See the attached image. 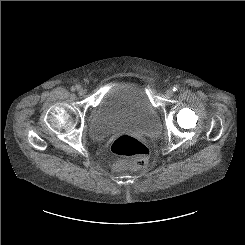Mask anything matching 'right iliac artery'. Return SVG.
<instances>
[{
	"label": "right iliac artery",
	"instance_id": "82829eb1",
	"mask_svg": "<svg viewBox=\"0 0 245 245\" xmlns=\"http://www.w3.org/2000/svg\"><path fill=\"white\" fill-rule=\"evenodd\" d=\"M79 88H80V86L77 85V86H75V87H72L71 90H72V91H75L76 89H79Z\"/></svg>",
	"mask_w": 245,
	"mask_h": 245
}]
</instances>
